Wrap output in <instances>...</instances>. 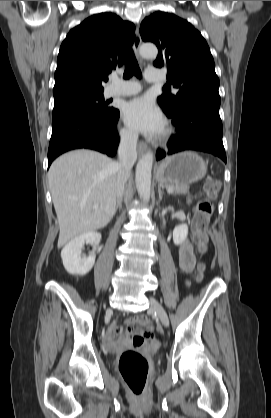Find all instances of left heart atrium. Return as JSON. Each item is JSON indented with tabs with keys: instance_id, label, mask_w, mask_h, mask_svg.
Returning a JSON list of instances; mask_svg holds the SVG:
<instances>
[{
	"instance_id": "1",
	"label": "left heart atrium",
	"mask_w": 271,
	"mask_h": 418,
	"mask_svg": "<svg viewBox=\"0 0 271 418\" xmlns=\"http://www.w3.org/2000/svg\"><path fill=\"white\" fill-rule=\"evenodd\" d=\"M125 124L136 133L157 135L162 132L165 120L154 103L145 97L135 98L123 107Z\"/></svg>"
}]
</instances>
